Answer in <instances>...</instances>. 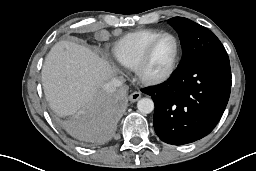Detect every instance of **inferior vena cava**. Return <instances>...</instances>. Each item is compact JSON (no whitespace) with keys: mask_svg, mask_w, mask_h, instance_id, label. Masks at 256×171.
I'll list each match as a JSON object with an SVG mask.
<instances>
[{"mask_svg":"<svg viewBox=\"0 0 256 171\" xmlns=\"http://www.w3.org/2000/svg\"><path fill=\"white\" fill-rule=\"evenodd\" d=\"M122 82L118 79H113L110 82H107L104 84V89L108 92V93H113L116 91L117 87L121 86Z\"/></svg>","mask_w":256,"mask_h":171,"instance_id":"602c4592","label":"inferior vena cava"}]
</instances>
